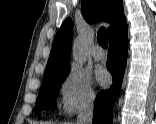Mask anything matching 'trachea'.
<instances>
[{
	"label": "trachea",
	"instance_id": "3493384b",
	"mask_svg": "<svg viewBox=\"0 0 156 124\" xmlns=\"http://www.w3.org/2000/svg\"><path fill=\"white\" fill-rule=\"evenodd\" d=\"M97 41L100 46L107 48L108 46V33L104 27H101L97 34Z\"/></svg>",
	"mask_w": 156,
	"mask_h": 124
}]
</instances>
